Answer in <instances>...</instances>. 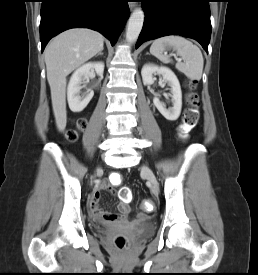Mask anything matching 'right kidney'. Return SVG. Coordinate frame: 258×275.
<instances>
[{
    "instance_id": "1",
    "label": "right kidney",
    "mask_w": 258,
    "mask_h": 275,
    "mask_svg": "<svg viewBox=\"0 0 258 275\" xmlns=\"http://www.w3.org/2000/svg\"><path fill=\"white\" fill-rule=\"evenodd\" d=\"M94 71L97 75L102 76L104 72V63H86L79 67L71 76L67 89L68 104L71 111L81 112L92 99L94 95L92 90H88L83 96L80 95V91L82 89V82L87 80Z\"/></svg>"
}]
</instances>
